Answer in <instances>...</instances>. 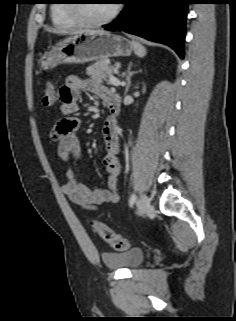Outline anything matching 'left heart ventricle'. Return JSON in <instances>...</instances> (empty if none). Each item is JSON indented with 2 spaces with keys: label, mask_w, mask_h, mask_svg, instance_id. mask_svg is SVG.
I'll return each mask as SVG.
<instances>
[{
  "label": "left heart ventricle",
  "mask_w": 236,
  "mask_h": 321,
  "mask_svg": "<svg viewBox=\"0 0 236 321\" xmlns=\"http://www.w3.org/2000/svg\"><path fill=\"white\" fill-rule=\"evenodd\" d=\"M114 7L110 0H88L84 4V14L92 20H101L107 17Z\"/></svg>",
  "instance_id": "obj_1"
}]
</instances>
